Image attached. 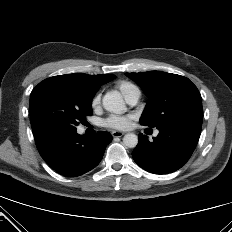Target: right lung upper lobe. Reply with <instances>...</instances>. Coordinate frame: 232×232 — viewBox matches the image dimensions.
Returning <instances> with one entry per match:
<instances>
[{
	"label": "right lung upper lobe",
	"mask_w": 232,
	"mask_h": 232,
	"mask_svg": "<svg viewBox=\"0 0 232 232\" xmlns=\"http://www.w3.org/2000/svg\"><path fill=\"white\" fill-rule=\"evenodd\" d=\"M69 77H73L79 80L84 81L89 88L94 91L95 93L98 91L100 88V85L109 82L112 80L115 76L112 74H105V75H87L83 73H74V74H69L65 75Z\"/></svg>",
	"instance_id": "1"
}]
</instances>
